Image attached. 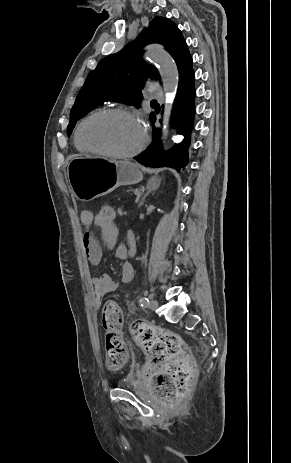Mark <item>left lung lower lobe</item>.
<instances>
[{
	"label": "left lung lower lobe",
	"mask_w": 291,
	"mask_h": 463,
	"mask_svg": "<svg viewBox=\"0 0 291 463\" xmlns=\"http://www.w3.org/2000/svg\"><path fill=\"white\" fill-rule=\"evenodd\" d=\"M195 75L193 69L187 71L180 77V86L175 98L170 120L171 127L177 130V134L184 136L181 143L175 144L170 150H164L161 143V130L153 129V141L142 154L134 159L144 166L150 167H172L178 172L188 164L187 149L190 145V136L194 126V88ZM152 123L155 122V114L150 116ZM160 122H162L160 120Z\"/></svg>",
	"instance_id": "1"
}]
</instances>
